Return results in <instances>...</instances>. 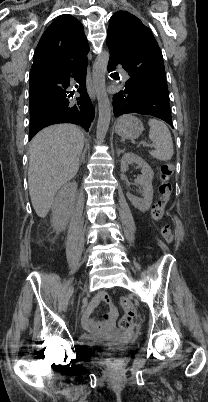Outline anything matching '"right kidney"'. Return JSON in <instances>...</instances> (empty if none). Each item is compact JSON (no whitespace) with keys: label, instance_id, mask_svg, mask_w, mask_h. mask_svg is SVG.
Wrapping results in <instances>:
<instances>
[{"label":"right kidney","instance_id":"obj_1","mask_svg":"<svg viewBox=\"0 0 208 402\" xmlns=\"http://www.w3.org/2000/svg\"><path fill=\"white\" fill-rule=\"evenodd\" d=\"M77 198L76 182H67L59 190L55 200H53L51 226L54 232H63L70 220L75 208Z\"/></svg>","mask_w":208,"mask_h":402}]
</instances>
